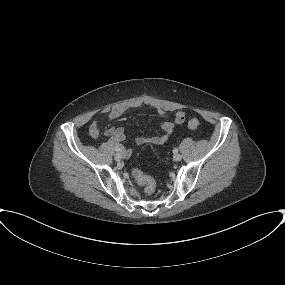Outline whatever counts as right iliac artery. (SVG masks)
Listing matches in <instances>:
<instances>
[{
    "label": "right iliac artery",
    "mask_w": 285,
    "mask_h": 285,
    "mask_svg": "<svg viewBox=\"0 0 285 285\" xmlns=\"http://www.w3.org/2000/svg\"><path fill=\"white\" fill-rule=\"evenodd\" d=\"M115 150H116L117 152L121 151V149H120L119 147H116Z\"/></svg>",
    "instance_id": "obj_1"
}]
</instances>
